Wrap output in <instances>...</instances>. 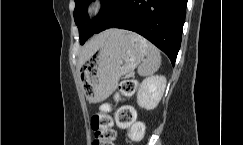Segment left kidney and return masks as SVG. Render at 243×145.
Wrapping results in <instances>:
<instances>
[{"instance_id": "left-kidney-1", "label": "left kidney", "mask_w": 243, "mask_h": 145, "mask_svg": "<svg viewBox=\"0 0 243 145\" xmlns=\"http://www.w3.org/2000/svg\"><path fill=\"white\" fill-rule=\"evenodd\" d=\"M166 87L164 76L154 75L142 81L137 92V103L140 107L152 110L159 104Z\"/></svg>"}]
</instances>
